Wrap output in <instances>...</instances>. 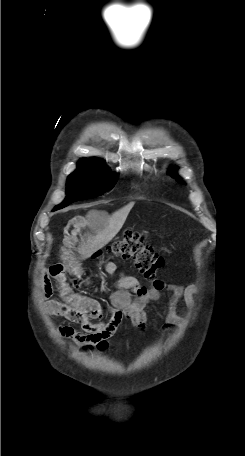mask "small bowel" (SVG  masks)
Masks as SVG:
<instances>
[{"label": "small bowel", "instance_id": "obj_1", "mask_svg": "<svg viewBox=\"0 0 245 456\" xmlns=\"http://www.w3.org/2000/svg\"><path fill=\"white\" fill-rule=\"evenodd\" d=\"M100 215L94 214L93 221H98ZM88 220L83 217L72 219L65 230V260L66 265L57 264L50 268V275L46 277L42 285V293L48 299L53 292L51 279H53L62 294L61 300H47L46 310L51 316H61L81 325L82 331L65 326L59 329L62 336L72 339L82 346L84 350L97 349L101 352L108 350V340L114 335L124 318L143 332L146 328V306L160 298V290L142 287L135 277L120 275L115 283V292L111 297V305L105 309L96 299L73 292L66 282L65 268L74 271V285L78 286L86 282V274L75 266V258L72 248L77 240L79 231L87 225ZM104 270L108 274H114L117 266L114 262L106 261ZM172 297L169 302L168 320L166 330L173 329L181 319L176 315L175 305L183 299L189 307H194V296L199 292L196 285L172 286ZM98 321V322H94Z\"/></svg>", "mask_w": 245, "mask_h": 456}]
</instances>
